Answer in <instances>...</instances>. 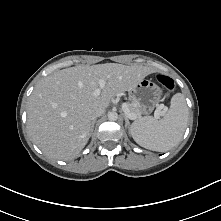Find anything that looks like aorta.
<instances>
[{
    "label": "aorta",
    "mask_w": 221,
    "mask_h": 221,
    "mask_svg": "<svg viewBox=\"0 0 221 221\" xmlns=\"http://www.w3.org/2000/svg\"><path fill=\"white\" fill-rule=\"evenodd\" d=\"M108 119L110 121H116L118 119V114L114 111L108 113Z\"/></svg>",
    "instance_id": "1"
}]
</instances>
